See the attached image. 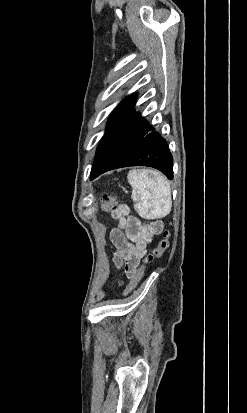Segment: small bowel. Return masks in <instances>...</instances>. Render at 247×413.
Listing matches in <instances>:
<instances>
[{
    "label": "small bowel",
    "instance_id": "obj_1",
    "mask_svg": "<svg viewBox=\"0 0 247 413\" xmlns=\"http://www.w3.org/2000/svg\"><path fill=\"white\" fill-rule=\"evenodd\" d=\"M118 226L111 230L110 239L116 249L113 261L117 267H125V277L131 278L144 260L147 246L163 230V222L154 220L143 223L130 214L127 205H119L111 212Z\"/></svg>",
    "mask_w": 247,
    "mask_h": 413
}]
</instances>
